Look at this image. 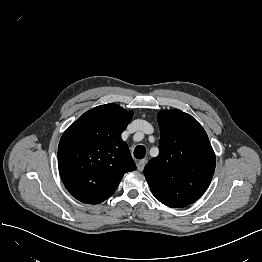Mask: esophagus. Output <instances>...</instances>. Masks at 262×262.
I'll list each match as a JSON object with an SVG mask.
<instances>
[{
  "label": "esophagus",
  "mask_w": 262,
  "mask_h": 262,
  "mask_svg": "<svg viewBox=\"0 0 262 262\" xmlns=\"http://www.w3.org/2000/svg\"><path fill=\"white\" fill-rule=\"evenodd\" d=\"M145 164H146V160H140L138 161L137 163V169L138 171H143L144 167H145Z\"/></svg>",
  "instance_id": "obj_1"
}]
</instances>
